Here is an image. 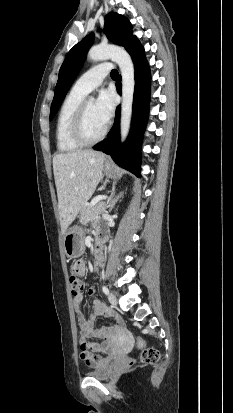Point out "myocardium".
I'll list each match as a JSON object with an SVG mask.
<instances>
[{
	"label": "myocardium",
	"mask_w": 233,
	"mask_h": 413,
	"mask_svg": "<svg viewBox=\"0 0 233 413\" xmlns=\"http://www.w3.org/2000/svg\"><path fill=\"white\" fill-rule=\"evenodd\" d=\"M88 101H83L78 107L74 119L71 124V137L81 146L94 145L103 140L108 132V126L106 125L103 131L95 138L87 137L85 133V118L86 108Z\"/></svg>",
	"instance_id": "f54148a6"
}]
</instances>
